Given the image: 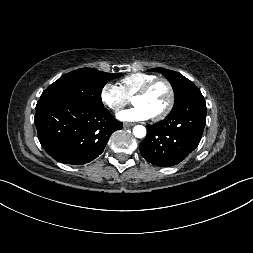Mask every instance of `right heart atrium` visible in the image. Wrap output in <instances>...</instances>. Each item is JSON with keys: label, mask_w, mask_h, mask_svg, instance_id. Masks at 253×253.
Returning <instances> with one entry per match:
<instances>
[{"label": "right heart atrium", "mask_w": 253, "mask_h": 253, "mask_svg": "<svg viewBox=\"0 0 253 253\" xmlns=\"http://www.w3.org/2000/svg\"><path fill=\"white\" fill-rule=\"evenodd\" d=\"M103 104L114 112L120 111L129 101L130 97L116 83H105L100 91Z\"/></svg>", "instance_id": "obj_1"}]
</instances>
